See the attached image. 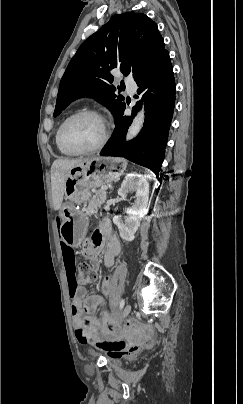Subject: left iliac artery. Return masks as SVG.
Wrapping results in <instances>:
<instances>
[{"label":"left iliac artery","mask_w":243,"mask_h":404,"mask_svg":"<svg viewBox=\"0 0 243 404\" xmlns=\"http://www.w3.org/2000/svg\"><path fill=\"white\" fill-rule=\"evenodd\" d=\"M125 305V299H122L119 304V308L122 309Z\"/></svg>","instance_id":"1"}]
</instances>
